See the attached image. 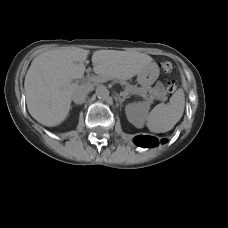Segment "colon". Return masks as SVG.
Here are the masks:
<instances>
[{"instance_id": "1", "label": "colon", "mask_w": 228, "mask_h": 228, "mask_svg": "<svg viewBox=\"0 0 228 228\" xmlns=\"http://www.w3.org/2000/svg\"><path fill=\"white\" fill-rule=\"evenodd\" d=\"M161 68H162V70L164 72L170 73L172 71V69H173V66H172V64L170 62L166 61V62H163L161 64ZM175 90H176V84H175V82H170L168 84V86H167L168 93L172 94V93L175 92Z\"/></svg>"}]
</instances>
